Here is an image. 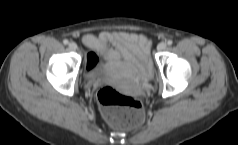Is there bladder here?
<instances>
[{"label":"bladder","mask_w":238,"mask_h":145,"mask_svg":"<svg viewBox=\"0 0 238 145\" xmlns=\"http://www.w3.org/2000/svg\"><path fill=\"white\" fill-rule=\"evenodd\" d=\"M110 65L106 62H101L98 59H93L88 64V74L92 79H96L98 74Z\"/></svg>","instance_id":"31cf9c89"}]
</instances>
